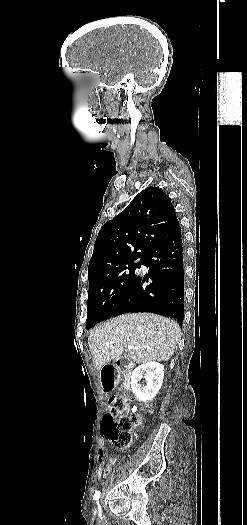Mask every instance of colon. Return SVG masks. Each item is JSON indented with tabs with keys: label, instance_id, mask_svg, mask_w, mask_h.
<instances>
[{
	"label": "colon",
	"instance_id": "1",
	"mask_svg": "<svg viewBox=\"0 0 247 525\" xmlns=\"http://www.w3.org/2000/svg\"><path fill=\"white\" fill-rule=\"evenodd\" d=\"M127 397L123 394H115L108 400V412L105 414L99 429V436L107 438L117 450L126 449L131 442V429L139 423L138 415L134 413L128 416Z\"/></svg>",
	"mask_w": 247,
	"mask_h": 525
}]
</instances>
